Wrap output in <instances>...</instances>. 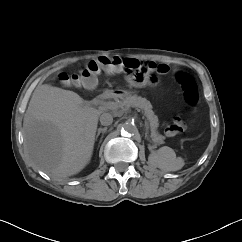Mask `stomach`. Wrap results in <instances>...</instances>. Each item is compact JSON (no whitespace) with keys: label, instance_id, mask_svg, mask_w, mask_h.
Instances as JSON below:
<instances>
[{"label":"stomach","instance_id":"1","mask_svg":"<svg viewBox=\"0 0 242 242\" xmlns=\"http://www.w3.org/2000/svg\"><path fill=\"white\" fill-rule=\"evenodd\" d=\"M131 95V92H128V91H124L122 93V96L125 97V96H130Z\"/></svg>","mask_w":242,"mask_h":242}]
</instances>
